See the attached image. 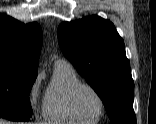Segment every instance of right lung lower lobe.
<instances>
[{
    "mask_svg": "<svg viewBox=\"0 0 156 124\" xmlns=\"http://www.w3.org/2000/svg\"><path fill=\"white\" fill-rule=\"evenodd\" d=\"M0 118H5L8 120H12V121H28L30 119V118L25 117V116L6 113V112H0Z\"/></svg>",
    "mask_w": 156,
    "mask_h": 124,
    "instance_id": "1",
    "label": "right lung lower lobe"
}]
</instances>
